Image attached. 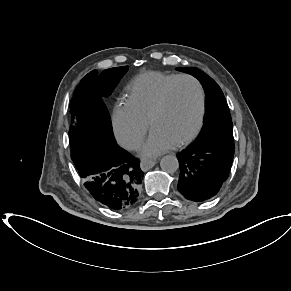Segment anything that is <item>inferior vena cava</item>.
<instances>
[{
    "instance_id": "602c4592",
    "label": "inferior vena cava",
    "mask_w": 291,
    "mask_h": 291,
    "mask_svg": "<svg viewBox=\"0 0 291 291\" xmlns=\"http://www.w3.org/2000/svg\"><path fill=\"white\" fill-rule=\"evenodd\" d=\"M140 145H141V141L138 140V139H135V140H132V141L128 142L126 144V148L133 150V149L139 148Z\"/></svg>"
}]
</instances>
